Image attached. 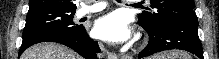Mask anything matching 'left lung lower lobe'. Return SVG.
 Masks as SVG:
<instances>
[{
	"mask_svg": "<svg viewBox=\"0 0 219 59\" xmlns=\"http://www.w3.org/2000/svg\"><path fill=\"white\" fill-rule=\"evenodd\" d=\"M141 26L149 35V43L139 53L138 58H144L165 50L180 49L204 59L198 36V19L195 13L185 14L168 25L157 29Z\"/></svg>",
	"mask_w": 219,
	"mask_h": 59,
	"instance_id": "1",
	"label": "left lung lower lobe"
}]
</instances>
